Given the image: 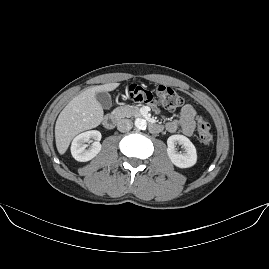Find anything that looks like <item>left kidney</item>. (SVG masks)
Here are the masks:
<instances>
[{"label": "left kidney", "instance_id": "obj_1", "mask_svg": "<svg viewBox=\"0 0 269 269\" xmlns=\"http://www.w3.org/2000/svg\"><path fill=\"white\" fill-rule=\"evenodd\" d=\"M176 144L184 147L185 152L180 153L176 150ZM167 154L171 162L179 168H188L197 161L196 148L193 143L183 135H172L167 139Z\"/></svg>", "mask_w": 269, "mask_h": 269}]
</instances>
